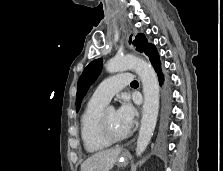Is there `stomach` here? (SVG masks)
Wrapping results in <instances>:
<instances>
[{
    "label": "stomach",
    "mask_w": 223,
    "mask_h": 171,
    "mask_svg": "<svg viewBox=\"0 0 223 171\" xmlns=\"http://www.w3.org/2000/svg\"><path fill=\"white\" fill-rule=\"evenodd\" d=\"M120 165H126L128 160H127V155L125 153L121 154L119 160H118Z\"/></svg>",
    "instance_id": "stomach-1"
}]
</instances>
